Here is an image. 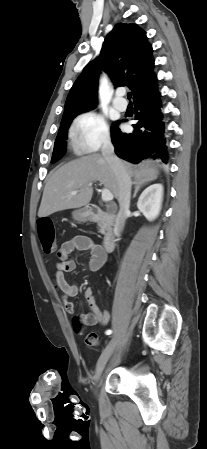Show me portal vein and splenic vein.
<instances>
[{
    "instance_id": "1",
    "label": "portal vein and splenic vein",
    "mask_w": 207,
    "mask_h": 449,
    "mask_svg": "<svg viewBox=\"0 0 207 449\" xmlns=\"http://www.w3.org/2000/svg\"><path fill=\"white\" fill-rule=\"evenodd\" d=\"M88 185L91 186L92 183H89ZM71 194H72V195H76V194H77V191H72ZM112 199H113V194H112L107 188H103V189H102V200H103L104 202H109V201H111Z\"/></svg>"
}]
</instances>
